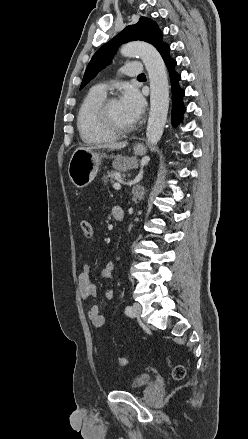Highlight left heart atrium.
Here are the masks:
<instances>
[{
    "instance_id": "39dd6f15",
    "label": "left heart atrium",
    "mask_w": 248,
    "mask_h": 439,
    "mask_svg": "<svg viewBox=\"0 0 248 439\" xmlns=\"http://www.w3.org/2000/svg\"><path fill=\"white\" fill-rule=\"evenodd\" d=\"M120 103L125 113L133 122L139 120L144 112L145 100L142 95L133 87H128L124 91L120 99Z\"/></svg>"
}]
</instances>
